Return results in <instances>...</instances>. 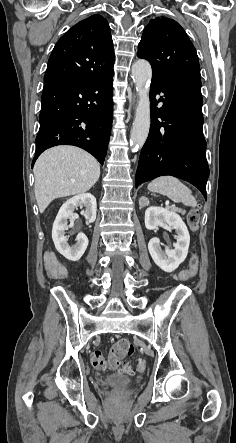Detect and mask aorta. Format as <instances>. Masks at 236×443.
I'll return each mask as SVG.
<instances>
[{
	"instance_id": "aorta-1",
	"label": "aorta",
	"mask_w": 236,
	"mask_h": 443,
	"mask_svg": "<svg viewBox=\"0 0 236 443\" xmlns=\"http://www.w3.org/2000/svg\"><path fill=\"white\" fill-rule=\"evenodd\" d=\"M132 77L138 92V103L135 112L133 128L130 133V145L134 150L144 145L150 128L149 87L152 69L148 61L139 59L132 65Z\"/></svg>"
}]
</instances>
